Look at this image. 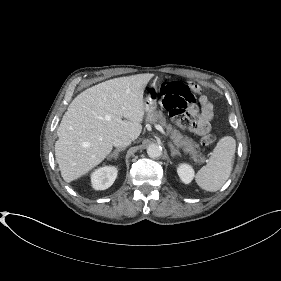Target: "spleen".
Here are the masks:
<instances>
[{"instance_id":"obj_1","label":"spleen","mask_w":281,"mask_h":281,"mask_svg":"<svg viewBox=\"0 0 281 281\" xmlns=\"http://www.w3.org/2000/svg\"><path fill=\"white\" fill-rule=\"evenodd\" d=\"M236 150V141L231 136L222 137L210 153V158L196 174L197 184L206 191H218L228 180Z\"/></svg>"}]
</instances>
